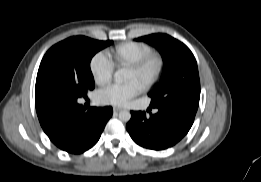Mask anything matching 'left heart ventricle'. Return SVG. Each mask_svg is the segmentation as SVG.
<instances>
[{
	"label": "left heart ventricle",
	"instance_id": "b2bd125f",
	"mask_svg": "<svg viewBox=\"0 0 261 182\" xmlns=\"http://www.w3.org/2000/svg\"><path fill=\"white\" fill-rule=\"evenodd\" d=\"M150 71V69H148L145 73L140 74L137 72H134L130 69H128L127 72V77H126V81H138L140 84H142L144 77L148 74V72Z\"/></svg>",
	"mask_w": 261,
	"mask_h": 182
}]
</instances>
